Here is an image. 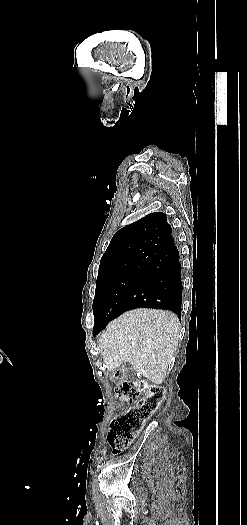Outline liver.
I'll return each instance as SVG.
<instances>
[{
    "label": "liver",
    "instance_id": "liver-1",
    "mask_svg": "<svg viewBox=\"0 0 247 525\" xmlns=\"http://www.w3.org/2000/svg\"><path fill=\"white\" fill-rule=\"evenodd\" d=\"M180 321L170 311L133 309L110 321L98 343L107 371L130 363L150 383L161 385L175 361Z\"/></svg>",
    "mask_w": 247,
    "mask_h": 525
}]
</instances>
